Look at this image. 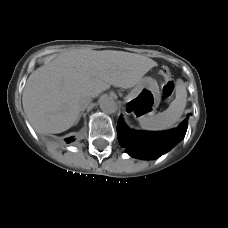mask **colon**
Here are the masks:
<instances>
[{"label": "colon", "mask_w": 228, "mask_h": 228, "mask_svg": "<svg viewBox=\"0 0 228 228\" xmlns=\"http://www.w3.org/2000/svg\"><path fill=\"white\" fill-rule=\"evenodd\" d=\"M160 73L164 79L163 92L165 97L170 98L174 94L175 84L170 69L167 66H163Z\"/></svg>", "instance_id": "1"}]
</instances>
